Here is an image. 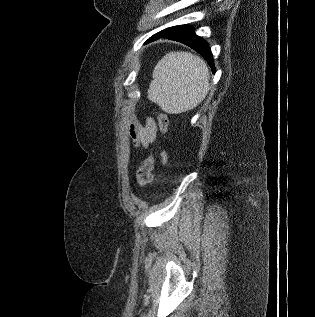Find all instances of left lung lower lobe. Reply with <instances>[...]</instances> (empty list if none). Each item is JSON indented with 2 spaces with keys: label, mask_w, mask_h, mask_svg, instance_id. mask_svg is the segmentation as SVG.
<instances>
[{
  "label": "left lung lower lobe",
  "mask_w": 315,
  "mask_h": 317,
  "mask_svg": "<svg viewBox=\"0 0 315 317\" xmlns=\"http://www.w3.org/2000/svg\"><path fill=\"white\" fill-rule=\"evenodd\" d=\"M167 38L188 45L197 51L210 65L213 73H215L214 61L208 43L194 33V29L189 25H179L170 27L164 33L152 36L150 41L159 38Z\"/></svg>",
  "instance_id": "1"
}]
</instances>
